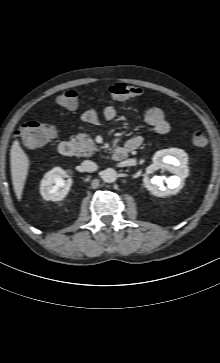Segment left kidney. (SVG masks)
Segmentation results:
<instances>
[{
  "mask_svg": "<svg viewBox=\"0 0 220 363\" xmlns=\"http://www.w3.org/2000/svg\"><path fill=\"white\" fill-rule=\"evenodd\" d=\"M153 163L146 168L143 178L144 186L155 196L164 197L176 194L181 187L182 181L188 176L187 155L178 149H164L153 155ZM163 168L175 175L166 179L167 187L164 186L160 176L149 178L156 170Z\"/></svg>",
  "mask_w": 220,
  "mask_h": 363,
  "instance_id": "1",
  "label": "left kidney"
}]
</instances>
